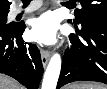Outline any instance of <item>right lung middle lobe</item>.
I'll list each match as a JSON object with an SVG mask.
<instances>
[{"label":"right lung middle lobe","instance_id":"dd1d6c3e","mask_svg":"<svg viewBox=\"0 0 107 89\" xmlns=\"http://www.w3.org/2000/svg\"><path fill=\"white\" fill-rule=\"evenodd\" d=\"M7 14H8V12L0 13V25L4 26L6 28L13 26L12 24L6 23L7 22Z\"/></svg>","mask_w":107,"mask_h":89}]
</instances>
